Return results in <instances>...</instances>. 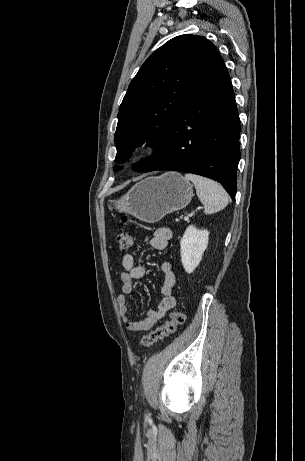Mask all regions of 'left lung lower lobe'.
<instances>
[{
  "instance_id": "1",
  "label": "left lung lower lobe",
  "mask_w": 305,
  "mask_h": 461,
  "mask_svg": "<svg viewBox=\"0 0 305 461\" xmlns=\"http://www.w3.org/2000/svg\"><path fill=\"white\" fill-rule=\"evenodd\" d=\"M240 120L221 56L181 106L166 132L162 152L148 170H174L218 181L235 199Z\"/></svg>"
}]
</instances>
